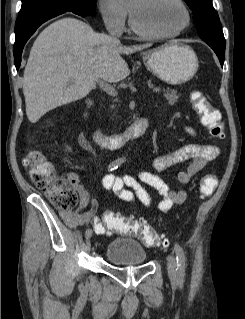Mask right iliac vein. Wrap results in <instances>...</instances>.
Masks as SVG:
<instances>
[{
	"label": "right iliac vein",
	"instance_id": "1",
	"mask_svg": "<svg viewBox=\"0 0 245 319\" xmlns=\"http://www.w3.org/2000/svg\"><path fill=\"white\" fill-rule=\"evenodd\" d=\"M92 236V232L91 233H85V237H86V240H87V251L89 250V246H90V238Z\"/></svg>",
	"mask_w": 245,
	"mask_h": 319
}]
</instances>
